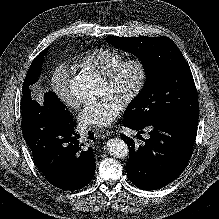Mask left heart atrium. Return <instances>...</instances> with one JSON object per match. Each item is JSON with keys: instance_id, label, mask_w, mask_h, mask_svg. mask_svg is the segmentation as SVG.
<instances>
[{"instance_id": "1", "label": "left heart atrium", "mask_w": 219, "mask_h": 219, "mask_svg": "<svg viewBox=\"0 0 219 219\" xmlns=\"http://www.w3.org/2000/svg\"><path fill=\"white\" fill-rule=\"evenodd\" d=\"M121 103L114 97L105 95L90 103L79 113L78 121L82 127L103 128L111 125L120 115Z\"/></svg>"}]
</instances>
